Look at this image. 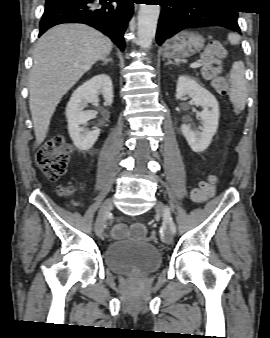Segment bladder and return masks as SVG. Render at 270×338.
Masks as SVG:
<instances>
[{
  "mask_svg": "<svg viewBox=\"0 0 270 338\" xmlns=\"http://www.w3.org/2000/svg\"><path fill=\"white\" fill-rule=\"evenodd\" d=\"M162 254L145 242H111L105 248V265L114 274L145 276L160 268Z\"/></svg>",
  "mask_w": 270,
  "mask_h": 338,
  "instance_id": "1",
  "label": "bladder"
}]
</instances>
